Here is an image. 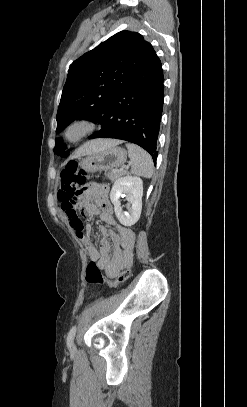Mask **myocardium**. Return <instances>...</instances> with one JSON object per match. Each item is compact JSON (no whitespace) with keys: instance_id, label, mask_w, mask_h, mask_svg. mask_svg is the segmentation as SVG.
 <instances>
[{"instance_id":"f54148a6","label":"myocardium","mask_w":247,"mask_h":407,"mask_svg":"<svg viewBox=\"0 0 247 407\" xmlns=\"http://www.w3.org/2000/svg\"><path fill=\"white\" fill-rule=\"evenodd\" d=\"M95 130V124L86 117L70 121L63 130V140L68 144H77Z\"/></svg>"}]
</instances>
